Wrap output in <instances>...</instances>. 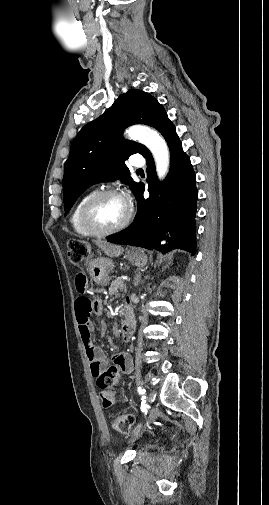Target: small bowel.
Here are the masks:
<instances>
[{
    "label": "small bowel",
    "mask_w": 269,
    "mask_h": 505,
    "mask_svg": "<svg viewBox=\"0 0 269 505\" xmlns=\"http://www.w3.org/2000/svg\"><path fill=\"white\" fill-rule=\"evenodd\" d=\"M74 288V309L79 325V331L85 346L87 358L90 362L91 371L94 377L108 364V359L105 353L94 344L93 333L94 327L91 322L92 315H100L102 312L101 299L96 295H90L87 289L86 274L83 271H78L75 274ZM107 325L105 322H100L96 328V332L100 335L105 334ZM112 368H114L119 377L129 374L132 370V357L127 352H121L113 356Z\"/></svg>",
    "instance_id": "1"
}]
</instances>
